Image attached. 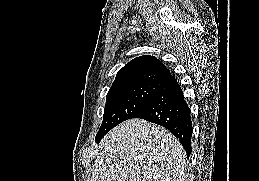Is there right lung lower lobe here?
<instances>
[{"instance_id": "right-lung-lower-lobe-1", "label": "right lung lower lobe", "mask_w": 259, "mask_h": 181, "mask_svg": "<svg viewBox=\"0 0 259 181\" xmlns=\"http://www.w3.org/2000/svg\"><path fill=\"white\" fill-rule=\"evenodd\" d=\"M133 118H141L167 128L179 139L187 155H190L192 150L190 109L174 76L170 75L159 85L155 95ZM103 136H97L96 141L99 142Z\"/></svg>"}]
</instances>
